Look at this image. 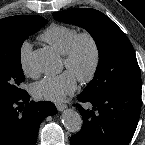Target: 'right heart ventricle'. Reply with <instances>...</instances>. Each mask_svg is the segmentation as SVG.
<instances>
[{"label": "right heart ventricle", "mask_w": 145, "mask_h": 145, "mask_svg": "<svg viewBox=\"0 0 145 145\" xmlns=\"http://www.w3.org/2000/svg\"><path fill=\"white\" fill-rule=\"evenodd\" d=\"M77 34L78 31L71 26L51 24L42 32L40 39L50 45L58 53L64 55Z\"/></svg>", "instance_id": "obj_1"}]
</instances>
